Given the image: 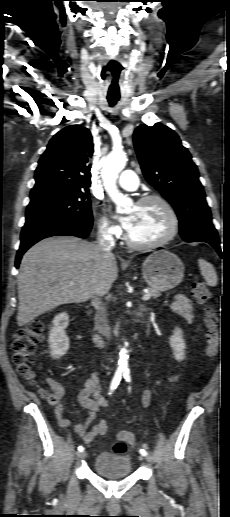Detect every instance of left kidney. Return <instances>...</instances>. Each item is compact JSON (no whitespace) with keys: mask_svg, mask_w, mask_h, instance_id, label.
<instances>
[{"mask_svg":"<svg viewBox=\"0 0 230 517\" xmlns=\"http://www.w3.org/2000/svg\"><path fill=\"white\" fill-rule=\"evenodd\" d=\"M169 344L173 350L174 358L177 361L184 360L186 344L183 339V332L180 328H175L173 335L169 338Z\"/></svg>","mask_w":230,"mask_h":517,"instance_id":"5707ae66","label":"left kidney"}]
</instances>
